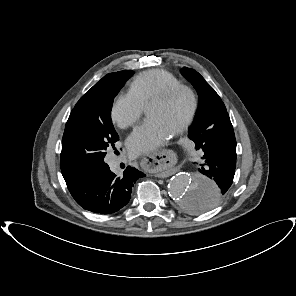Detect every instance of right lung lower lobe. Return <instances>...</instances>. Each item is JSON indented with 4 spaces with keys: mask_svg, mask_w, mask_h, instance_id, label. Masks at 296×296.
Returning <instances> with one entry per match:
<instances>
[{
    "mask_svg": "<svg viewBox=\"0 0 296 296\" xmlns=\"http://www.w3.org/2000/svg\"><path fill=\"white\" fill-rule=\"evenodd\" d=\"M144 176L137 169L127 167L123 177H116L103 163L65 181L82 208L98 214H112L128 204L134 183Z\"/></svg>",
    "mask_w": 296,
    "mask_h": 296,
    "instance_id": "right-lung-lower-lobe-1",
    "label": "right lung lower lobe"
}]
</instances>
